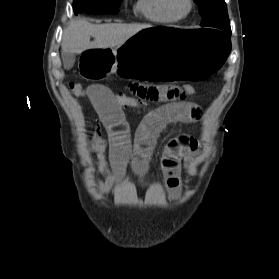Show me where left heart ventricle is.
Listing matches in <instances>:
<instances>
[{"mask_svg": "<svg viewBox=\"0 0 279 279\" xmlns=\"http://www.w3.org/2000/svg\"><path fill=\"white\" fill-rule=\"evenodd\" d=\"M176 9L179 12H185L188 9L187 0H177V2H176Z\"/></svg>", "mask_w": 279, "mask_h": 279, "instance_id": "obj_1", "label": "left heart ventricle"}]
</instances>
